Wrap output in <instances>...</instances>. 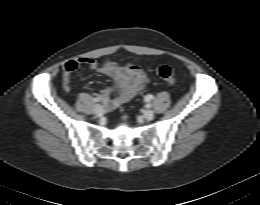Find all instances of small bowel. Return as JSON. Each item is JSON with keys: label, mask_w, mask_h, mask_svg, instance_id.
Segmentation results:
<instances>
[{"label": "small bowel", "mask_w": 260, "mask_h": 205, "mask_svg": "<svg viewBox=\"0 0 260 205\" xmlns=\"http://www.w3.org/2000/svg\"><path fill=\"white\" fill-rule=\"evenodd\" d=\"M80 66L93 69L106 75L112 81V86L102 89L97 98L101 100L107 110H113L133 98L148 82L146 72L139 66L128 63L119 65L112 60L103 64L90 57L70 60L63 66L62 86L65 91L72 89L71 76Z\"/></svg>", "instance_id": "obj_1"}]
</instances>
